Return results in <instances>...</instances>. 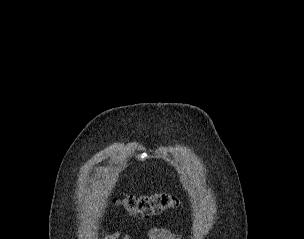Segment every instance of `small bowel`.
<instances>
[{"label": "small bowel", "mask_w": 304, "mask_h": 239, "mask_svg": "<svg viewBox=\"0 0 304 239\" xmlns=\"http://www.w3.org/2000/svg\"><path fill=\"white\" fill-rule=\"evenodd\" d=\"M121 237V233L119 231H115L112 234L104 237L103 239H119ZM148 239H183V236L163 227H155L148 231L147 233ZM123 239H131L130 234H125Z\"/></svg>", "instance_id": "1"}]
</instances>
